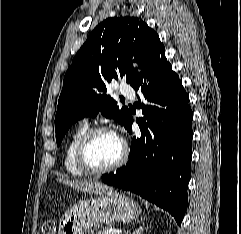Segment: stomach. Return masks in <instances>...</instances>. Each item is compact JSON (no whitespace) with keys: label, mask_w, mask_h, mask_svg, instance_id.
I'll list each match as a JSON object with an SVG mask.
<instances>
[{"label":"stomach","mask_w":241,"mask_h":234,"mask_svg":"<svg viewBox=\"0 0 241 234\" xmlns=\"http://www.w3.org/2000/svg\"><path fill=\"white\" fill-rule=\"evenodd\" d=\"M138 213L133 200L108 190L73 205L60 221L59 234H86L92 227L104 223L130 222Z\"/></svg>","instance_id":"obj_1"}]
</instances>
